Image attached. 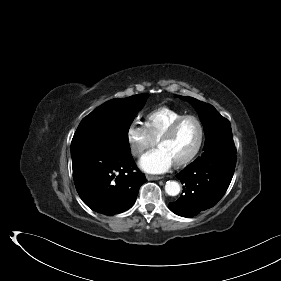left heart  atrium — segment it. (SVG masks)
Returning a JSON list of instances; mask_svg holds the SVG:
<instances>
[{
    "instance_id": "obj_1",
    "label": "left heart atrium",
    "mask_w": 281,
    "mask_h": 281,
    "mask_svg": "<svg viewBox=\"0 0 281 281\" xmlns=\"http://www.w3.org/2000/svg\"><path fill=\"white\" fill-rule=\"evenodd\" d=\"M139 165L147 173L160 174L168 171L173 161L165 151L159 148L145 154L140 159Z\"/></svg>"
}]
</instances>
